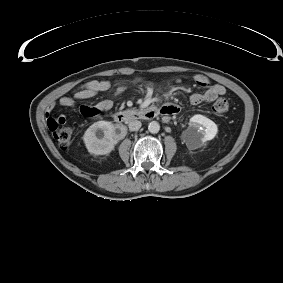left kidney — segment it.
Returning a JSON list of instances; mask_svg holds the SVG:
<instances>
[{
  "label": "left kidney",
  "instance_id": "5707ae66",
  "mask_svg": "<svg viewBox=\"0 0 283 283\" xmlns=\"http://www.w3.org/2000/svg\"><path fill=\"white\" fill-rule=\"evenodd\" d=\"M218 132L217 125L209 118L196 114L191 117L186 130L185 143L188 149L195 150L212 140Z\"/></svg>",
  "mask_w": 283,
  "mask_h": 283
}]
</instances>
